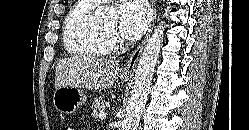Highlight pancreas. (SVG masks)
Instances as JSON below:
<instances>
[{"instance_id": "obj_1", "label": "pancreas", "mask_w": 249, "mask_h": 130, "mask_svg": "<svg viewBox=\"0 0 249 130\" xmlns=\"http://www.w3.org/2000/svg\"><path fill=\"white\" fill-rule=\"evenodd\" d=\"M105 99L102 97L95 98L93 103L91 104L92 116L97 118L100 112H103L105 105Z\"/></svg>"}]
</instances>
